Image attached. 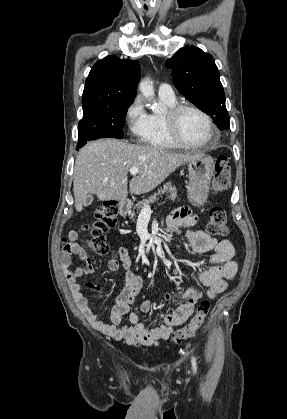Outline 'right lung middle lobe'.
<instances>
[{"label": "right lung middle lobe", "instance_id": "right-lung-middle-lobe-1", "mask_svg": "<svg viewBox=\"0 0 287 419\" xmlns=\"http://www.w3.org/2000/svg\"><path fill=\"white\" fill-rule=\"evenodd\" d=\"M132 103L104 106L83 112L78 124L77 149L87 141L99 138H123L122 128L125 125L127 108Z\"/></svg>", "mask_w": 287, "mask_h": 419}]
</instances>
